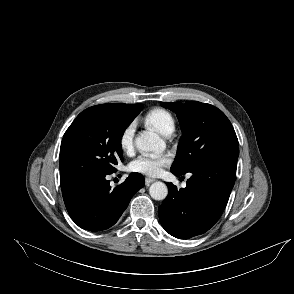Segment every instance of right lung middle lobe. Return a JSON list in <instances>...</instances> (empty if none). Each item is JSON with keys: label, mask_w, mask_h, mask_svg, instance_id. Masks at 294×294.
<instances>
[{"label": "right lung middle lobe", "mask_w": 294, "mask_h": 294, "mask_svg": "<svg viewBox=\"0 0 294 294\" xmlns=\"http://www.w3.org/2000/svg\"><path fill=\"white\" fill-rule=\"evenodd\" d=\"M141 109V104H103L81 112L63 136L60 179L115 172V165L123 162L121 138Z\"/></svg>", "instance_id": "right-lung-middle-lobe-1"}]
</instances>
